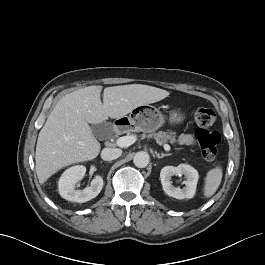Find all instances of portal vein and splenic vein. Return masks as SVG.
I'll list each match as a JSON object with an SVG mask.
<instances>
[{"label": "portal vein and splenic vein", "instance_id": "18ae733b", "mask_svg": "<svg viewBox=\"0 0 265 265\" xmlns=\"http://www.w3.org/2000/svg\"><path fill=\"white\" fill-rule=\"evenodd\" d=\"M137 138L136 136L134 135H130V136H123V137H119L117 140H116V145L120 148H123V147H128L132 144H134L136 142ZM164 149L166 151H169L170 150V146L168 144H164L163 145Z\"/></svg>", "mask_w": 265, "mask_h": 265}]
</instances>
